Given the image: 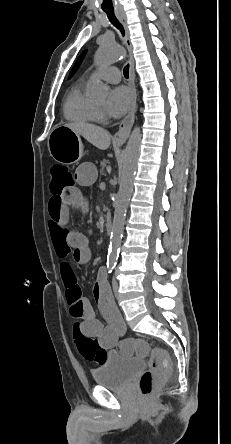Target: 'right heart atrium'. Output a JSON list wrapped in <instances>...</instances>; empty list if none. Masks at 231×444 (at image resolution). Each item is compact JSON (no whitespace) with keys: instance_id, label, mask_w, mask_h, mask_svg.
I'll return each mask as SVG.
<instances>
[{"instance_id":"obj_1","label":"right heart atrium","mask_w":231,"mask_h":444,"mask_svg":"<svg viewBox=\"0 0 231 444\" xmlns=\"http://www.w3.org/2000/svg\"><path fill=\"white\" fill-rule=\"evenodd\" d=\"M98 115H99V119H103L104 118V114L100 110H98Z\"/></svg>"}]
</instances>
